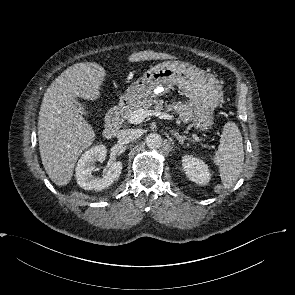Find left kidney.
Wrapping results in <instances>:
<instances>
[{
    "mask_svg": "<svg viewBox=\"0 0 295 295\" xmlns=\"http://www.w3.org/2000/svg\"><path fill=\"white\" fill-rule=\"evenodd\" d=\"M182 165L189 180L199 185L209 183L211 174L208 165L203 160L192 155H184L182 157Z\"/></svg>",
    "mask_w": 295,
    "mask_h": 295,
    "instance_id": "left-kidney-1",
    "label": "left kidney"
}]
</instances>
